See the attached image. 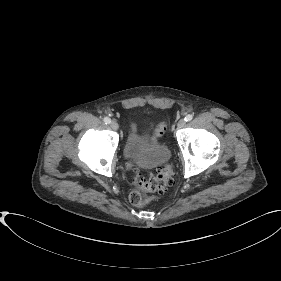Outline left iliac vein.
Returning <instances> with one entry per match:
<instances>
[{"label": "left iliac vein", "instance_id": "left-iliac-vein-1", "mask_svg": "<svg viewBox=\"0 0 281 281\" xmlns=\"http://www.w3.org/2000/svg\"><path fill=\"white\" fill-rule=\"evenodd\" d=\"M186 125V121L184 119L179 120V122L177 123V128L181 129Z\"/></svg>", "mask_w": 281, "mask_h": 281}]
</instances>
